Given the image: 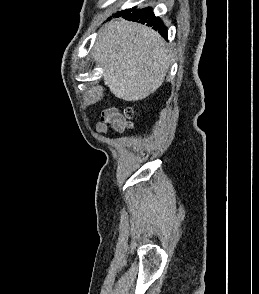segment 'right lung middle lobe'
<instances>
[{
	"mask_svg": "<svg viewBox=\"0 0 259 294\" xmlns=\"http://www.w3.org/2000/svg\"><path fill=\"white\" fill-rule=\"evenodd\" d=\"M125 11H128V9L125 10ZM125 11H121V12H119V13H116L115 15H120V14L124 13Z\"/></svg>",
	"mask_w": 259,
	"mask_h": 294,
	"instance_id": "1",
	"label": "right lung middle lobe"
}]
</instances>
